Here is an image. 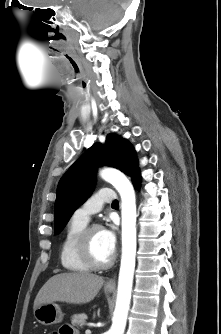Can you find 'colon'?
Segmentation results:
<instances>
[{
	"label": "colon",
	"instance_id": "obj_1",
	"mask_svg": "<svg viewBox=\"0 0 221 334\" xmlns=\"http://www.w3.org/2000/svg\"><path fill=\"white\" fill-rule=\"evenodd\" d=\"M49 334H58L57 332H50Z\"/></svg>",
	"mask_w": 221,
	"mask_h": 334
}]
</instances>
